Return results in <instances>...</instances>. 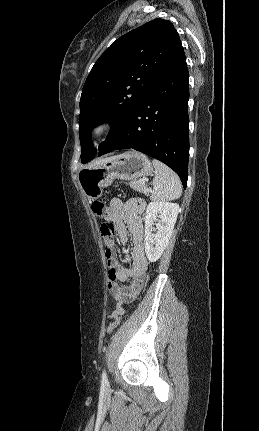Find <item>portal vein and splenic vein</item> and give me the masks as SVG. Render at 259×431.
<instances>
[{
    "instance_id": "portal-vein-and-splenic-vein-1",
    "label": "portal vein and splenic vein",
    "mask_w": 259,
    "mask_h": 431,
    "mask_svg": "<svg viewBox=\"0 0 259 431\" xmlns=\"http://www.w3.org/2000/svg\"><path fill=\"white\" fill-rule=\"evenodd\" d=\"M140 182H141V183H145V180H144V179H142V180H140Z\"/></svg>"
}]
</instances>
